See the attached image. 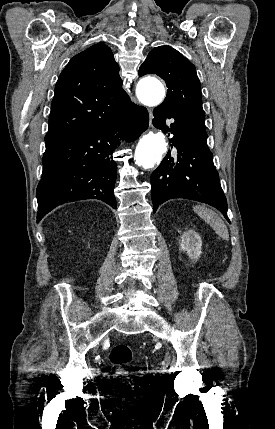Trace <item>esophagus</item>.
Here are the masks:
<instances>
[{"label": "esophagus", "instance_id": "1", "mask_svg": "<svg viewBox=\"0 0 275 429\" xmlns=\"http://www.w3.org/2000/svg\"><path fill=\"white\" fill-rule=\"evenodd\" d=\"M149 116H150V125H151L152 113H151V111H150V110H149Z\"/></svg>", "mask_w": 275, "mask_h": 429}]
</instances>
